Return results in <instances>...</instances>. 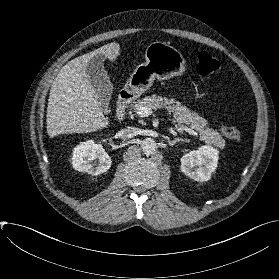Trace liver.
<instances>
[{"label":"liver","instance_id":"liver-1","mask_svg":"<svg viewBox=\"0 0 279 279\" xmlns=\"http://www.w3.org/2000/svg\"><path fill=\"white\" fill-rule=\"evenodd\" d=\"M119 54L120 45L112 42L72 59L63 66L49 93L46 115L49 137L68 133H90L109 126L110 121L100 107L98 95L89 80L86 68L96 55L114 61Z\"/></svg>","mask_w":279,"mask_h":279}]
</instances>
